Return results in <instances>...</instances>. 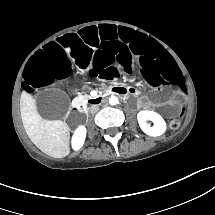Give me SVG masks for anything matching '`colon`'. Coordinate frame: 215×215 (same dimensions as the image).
Segmentation results:
<instances>
[{
	"mask_svg": "<svg viewBox=\"0 0 215 215\" xmlns=\"http://www.w3.org/2000/svg\"><path fill=\"white\" fill-rule=\"evenodd\" d=\"M185 111H186L185 107H180L177 116H175L174 118L171 119L170 126L173 129H176V128L180 127L181 120H182V117L185 114Z\"/></svg>",
	"mask_w": 215,
	"mask_h": 215,
	"instance_id": "colon-1",
	"label": "colon"
}]
</instances>
